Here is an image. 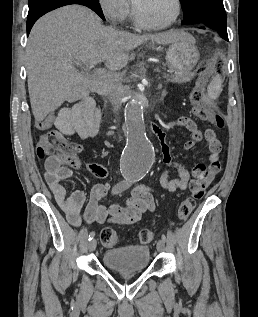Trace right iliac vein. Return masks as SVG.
Segmentation results:
<instances>
[{
	"instance_id": "63e3f726",
	"label": "right iliac vein",
	"mask_w": 258,
	"mask_h": 317,
	"mask_svg": "<svg viewBox=\"0 0 258 317\" xmlns=\"http://www.w3.org/2000/svg\"><path fill=\"white\" fill-rule=\"evenodd\" d=\"M97 240L96 239H91L89 244H88V249H89V253L92 251H94L96 249V245H97Z\"/></svg>"
}]
</instances>
